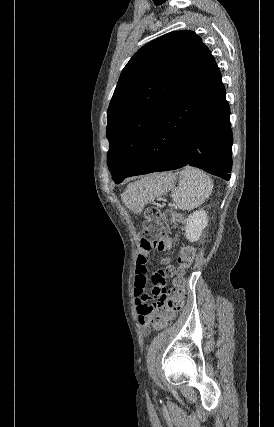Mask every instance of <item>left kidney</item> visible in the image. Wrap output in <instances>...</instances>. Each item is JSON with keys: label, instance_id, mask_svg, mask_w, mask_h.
I'll list each match as a JSON object with an SVG mask.
<instances>
[{"label": "left kidney", "instance_id": "left-kidney-1", "mask_svg": "<svg viewBox=\"0 0 274 427\" xmlns=\"http://www.w3.org/2000/svg\"><path fill=\"white\" fill-rule=\"evenodd\" d=\"M185 235L189 241H197L206 225H208V215L205 210H198L188 215Z\"/></svg>", "mask_w": 274, "mask_h": 427}]
</instances>
